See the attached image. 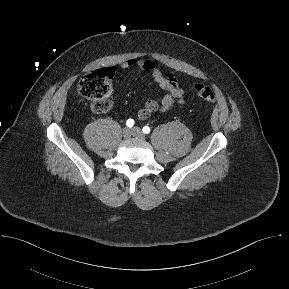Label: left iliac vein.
I'll list each match as a JSON object with an SVG mask.
<instances>
[{
  "label": "left iliac vein",
  "instance_id": "left-iliac-vein-1",
  "mask_svg": "<svg viewBox=\"0 0 289 289\" xmlns=\"http://www.w3.org/2000/svg\"><path fill=\"white\" fill-rule=\"evenodd\" d=\"M132 135L140 139H145V135L139 127L132 128Z\"/></svg>",
  "mask_w": 289,
  "mask_h": 289
}]
</instances>
